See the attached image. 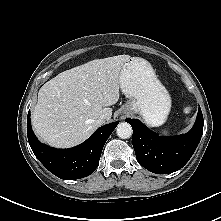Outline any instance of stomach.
Here are the masks:
<instances>
[{"label":"stomach","instance_id":"stomach-1","mask_svg":"<svg viewBox=\"0 0 221 221\" xmlns=\"http://www.w3.org/2000/svg\"><path fill=\"white\" fill-rule=\"evenodd\" d=\"M120 88L128 98L121 108L124 114H140L153 127L166 121L171 98L146 60L133 57L125 62L120 73Z\"/></svg>","mask_w":221,"mask_h":221}]
</instances>
